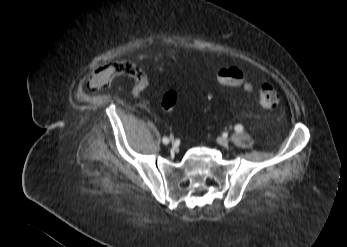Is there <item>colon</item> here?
Here are the masks:
<instances>
[{"label":"colon","instance_id":"5ec220e1","mask_svg":"<svg viewBox=\"0 0 347 247\" xmlns=\"http://www.w3.org/2000/svg\"><path fill=\"white\" fill-rule=\"evenodd\" d=\"M218 82L224 86L250 87L248 81L242 72L235 68L221 69L217 75ZM256 96L258 103L265 109L275 108L279 102L277 87L271 81H262L256 87ZM179 93L177 90H168L161 98V105L165 110H172L178 104Z\"/></svg>","mask_w":347,"mask_h":247}]
</instances>
